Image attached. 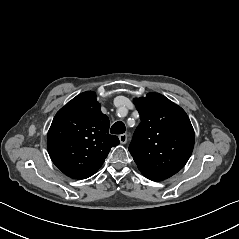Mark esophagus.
<instances>
[{
    "label": "esophagus",
    "instance_id": "34e87169",
    "mask_svg": "<svg viewBox=\"0 0 239 239\" xmlns=\"http://www.w3.org/2000/svg\"><path fill=\"white\" fill-rule=\"evenodd\" d=\"M120 143L125 144L127 142V134L119 135Z\"/></svg>",
    "mask_w": 239,
    "mask_h": 239
}]
</instances>
